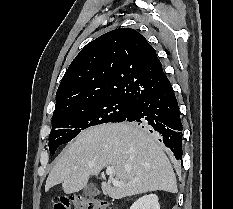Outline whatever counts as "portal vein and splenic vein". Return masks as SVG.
<instances>
[{"instance_id":"18ae733b","label":"portal vein and splenic vein","mask_w":233,"mask_h":209,"mask_svg":"<svg viewBox=\"0 0 233 209\" xmlns=\"http://www.w3.org/2000/svg\"><path fill=\"white\" fill-rule=\"evenodd\" d=\"M106 174L110 177V179L112 181V184L114 186H121L123 184L122 182H120V181L113 178V174H114V168L113 167H107Z\"/></svg>"}]
</instances>
